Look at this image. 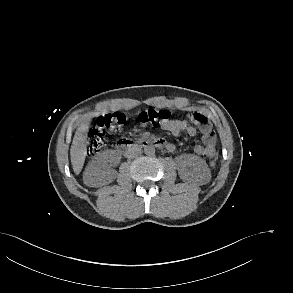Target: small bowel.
<instances>
[{
	"label": "small bowel",
	"instance_id": "1",
	"mask_svg": "<svg viewBox=\"0 0 293 293\" xmlns=\"http://www.w3.org/2000/svg\"><path fill=\"white\" fill-rule=\"evenodd\" d=\"M202 119L199 122L194 121L191 117L190 120L199 125L203 144L194 146V152L197 155L213 158L216 154V135L209 123L208 118L202 113H196ZM162 128L170 132L173 136H179L181 132H186L188 136L193 137L197 134V129L190 123L189 120H169ZM166 149L171 152H176V147L172 143H168Z\"/></svg>",
	"mask_w": 293,
	"mask_h": 293
}]
</instances>
